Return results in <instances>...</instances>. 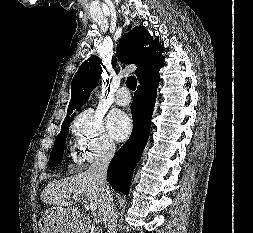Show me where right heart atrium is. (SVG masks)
I'll return each instance as SVG.
<instances>
[{"mask_svg": "<svg viewBox=\"0 0 253 233\" xmlns=\"http://www.w3.org/2000/svg\"><path fill=\"white\" fill-rule=\"evenodd\" d=\"M78 150L86 162L110 157L116 145L107 133L102 117L92 110L81 112L71 126Z\"/></svg>", "mask_w": 253, "mask_h": 233, "instance_id": "1", "label": "right heart atrium"}]
</instances>
